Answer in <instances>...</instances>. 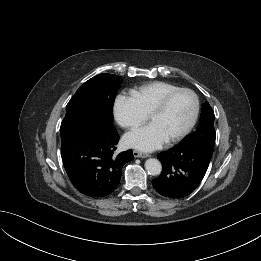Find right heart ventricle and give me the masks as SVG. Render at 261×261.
<instances>
[{
  "mask_svg": "<svg viewBox=\"0 0 261 261\" xmlns=\"http://www.w3.org/2000/svg\"><path fill=\"white\" fill-rule=\"evenodd\" d=\"M178 89H180V87L175 84L164 81H154L133 90L132 95L137 100L141 110L146 115H149L165 96Z\"/></svg>",
  "mask_w": 261,
  "mask_h": 261,
  "instance_id": "obj_1",
  "label": "right heart ventricle"
}]
</instances>
